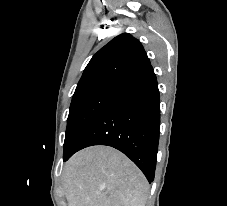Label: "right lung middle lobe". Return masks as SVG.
I'll return each mask as SVG.
<instances>
[{"mask_svg":"<svg viewBox=\"0 0 227 206\" xmlns=\"http://www.w3.org/2000/svg\"><path fill=\"white\" fill-rule=\"evenodd\" d=\"M128 83L107 79L75 90L67 119L63 158L71 153L82 134L102 111L127 89Z\"/></svg>","mask_w":227,"mask_h":206,"instance_id":"dd1d6c3e","label":"right lung middle lobe"}]
</instances>
